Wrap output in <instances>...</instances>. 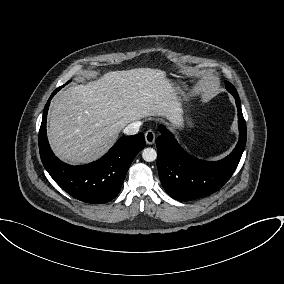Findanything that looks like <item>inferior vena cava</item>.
<instances>
[{"label":"inferior vena cava","mask_w":284,"mask_h":284,"mask_svg":"<svg viewBox=\"0 0 284 284\" xmlns=\"http://www.w3.org/2000/svg\"><path fill=\"white\" fill-rule=\"evenodd\" d=\"M140 125V122L130 123L124 128L123 132L126 135H135L138 133Z\"/></svg>","instance_id":"obj_1"}]
</instances>
